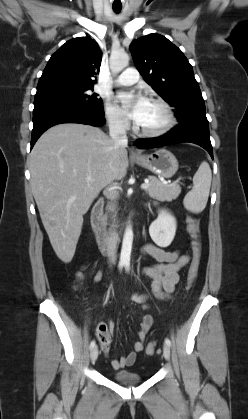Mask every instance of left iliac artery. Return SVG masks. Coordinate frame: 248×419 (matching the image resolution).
I'll return each instance as SVG.
<instances>
[{
  "label": "left iliac artery",
  "mask_w": 248,
  "mask_h": 419,
  "mask_svg": "<svg viewBox=\"0 0 248 419\" xmlns=\"http://www.w3.org/2000/svg\"><path fill=\"white\" fill-rule=\"evenodd\" d=\"M126 269H127V270H129V266H126ZM165 343H166L168 346H171V341H170L168 338H166V339H165Z\"/></svg>",
  "instance_id": "1"
}]
</instances>
